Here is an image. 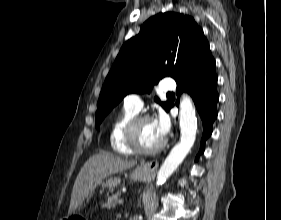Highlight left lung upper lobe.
<instances>
[{
	"label": "left lung upper lobe",
	"mask_w": 281,
	"mask_h": 220,
	"mask_svg": "<svg viewBox=\"0 0 281 220\" xmlns=\"http://www.w3.org/2000/svg\"><path fill=\"white\" fill-rule=\"evenodd\" d=\"M209 49L203 30L190 16L177 12L149 18L135 37L121 48L102 87L95 126L129 93L150 92L153 85L170 76L179 80L190 62ZM168 111L171 102L161 103Z\"/></svg>",
	"instance_id": "obj_1"
}]
</instances>
